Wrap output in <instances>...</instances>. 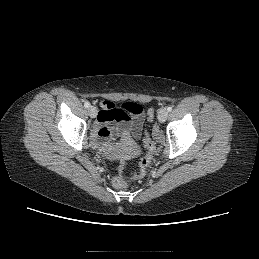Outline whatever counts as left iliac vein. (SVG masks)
Returning a JSON list of instances; mask_svg holds the SVG:
<instances>
[{
  "mask_svg": "<svg viewBox=\"0 0 259 259\" xmlns=\"http://www.w3.org/2000/svg\"><path fill=\"white\" fill-rule=\"evenodd\" d=\"M168 111L166 109H161L158 113V120L163 123L167 120Z\"/></svg>",
  "mask_w": 259,
  "mask_h": 259,
  "instance_id": "4c4485c4",
  "label": "left iliac vein"
}]
</instances>
